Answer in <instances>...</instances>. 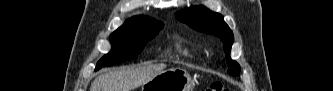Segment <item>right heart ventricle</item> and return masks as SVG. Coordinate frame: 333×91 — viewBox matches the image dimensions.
I'll return each mask as SVG.
<instances>
[{"instance_id": "obj_1", "label": "right heart ventricle", "mask_w": 333, "mask_h": 91, "mask_svg": "<svg viewBox=\"0 0 333 91\" xmlns=\"http://www.w3.org/2000/svg\"><path fill=\"white\" fill-rule=\"evenodd\" d=\"M177 48L185 56L193 57V53L186 47H183L180 43H177Z\"/></svg>"}]
</instances>
